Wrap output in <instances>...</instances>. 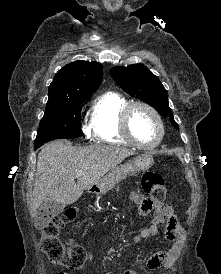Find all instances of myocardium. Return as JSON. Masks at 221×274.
I'll return each instance as SVG.
<instances>
[{
	"label": "myocardium",
	"mask_w": 221,
	"mask_h": 274,
	"mask_svg": "<svg viewBox=\"0 0 221 274\" xmlns=\"http://www.w3.org/2000/svg\"><path fill=\"white\" fill-rule=\"evenodd\" d=\"M136 108H144L147 111H149L154 118L157 121L158 127H159V136L158 139L153 143V144H143L139 142L134 135L132 134L131 127H130V118L131 114L134 109ZM120 126H121V131L125 138L134 146L144 149V150H150L154 149L157 147L163 140L164 134H165V127L163 120L159 114V112L150 104L142 101H134L130 102L122 111L121 113V118H120Z\"/></svg>",
	"instance_id": "f54148a6"
}]
</instances>
